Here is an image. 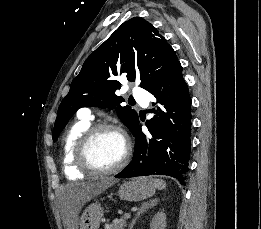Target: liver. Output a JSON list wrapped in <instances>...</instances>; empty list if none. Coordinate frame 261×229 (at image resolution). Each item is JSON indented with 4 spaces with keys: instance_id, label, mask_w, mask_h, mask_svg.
I'll use <instances>...</instances> for the list:
<instances>
[{
    "instance_id": "liver-1",
    "label": "liver",
    "mask_w": 261,
    "mask_h": 229,
    "mask_svg": "<svg viewBox=\"0 0 261 229\" xmlns=\"http://www.w3.org/2000/svg\"><path fill=\"white\" fill-rule=\"evenodd\" d=\"M115 183H119V181L113 179V177H106V179L94 181V183H91V181H89V183H78V185H74L75 189L74 187H69L72 195H74V199H76L77 211L82 209L84 203H88V201H91V199H94V197H97V195H100V193H103V191L115 185ZM73 215L74 213L69 211L70 227L71 229H77V223L75 219H73Z\"/></svg>"
}]
</instances>
